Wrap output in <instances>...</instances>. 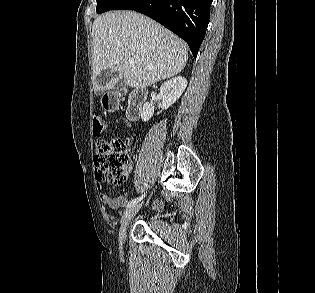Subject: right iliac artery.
Listing matches in <instances>:
<instances>
[{"instance_id": "1", "label": "right iliac artery", "mask_w": 315, "mask_h": 293, "mask_svg": "<svg viewBox=\"0 0 315 293\" xmlns=\"http://www.w3.org/2000/svg\"><path fill=\"white\" fill-rule=\"evenodd\" d=\"M144 196H145V194L142 195V196H140V197H138V198L132 199L131 201L128 202V204H127L126 207L129 208V207L134 206V205L137 204L140 200H142Z\"/></svg>"}]
</instances>
